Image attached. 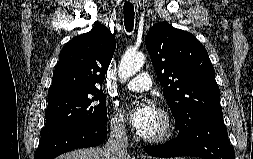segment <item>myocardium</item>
I'll use <instances>...</instances> for the list:
<instances>
[{"mask_svg":"<svg viewBox=\"0 0 253 159\" xmlns=\"http://www.w3.org/2000/svg\"><path fill=\"white\" fill-rule=\"evenodd\" d=\"M157 113L160 115L163 122V129L161 132L153 136L141 135L144 141L153 144H160L170 140L176 134L177 129L173 117L167 110L159 108Z\"/></svg>","mask_w":253,"mask_h":159,"instance_id":"myocardium-1","label":"myocardium"}]
</instances>
